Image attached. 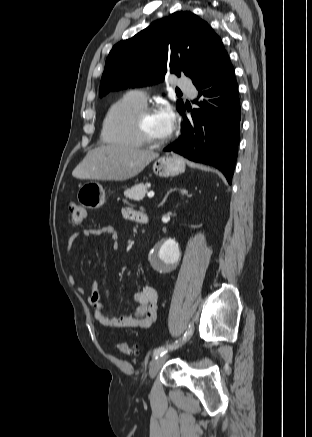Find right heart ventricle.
Masks as SVG:
<instances>
[{
    "mask_svg": "<svg viewBox=\"0 0 312 437\" xmlns=\"http://www.w3.org/2000/svg\"><path fill=\"white\" fill-rule=\"evenodd\" d=\"M145 103L140 102L131 93L115 101L107 110L103 122L101 137L105 143L137 148L142 146L138 140L132 124L134 113Z\"/></svg>",
    "mask_w": 312,
    "mask_h": 437,
    "instance_id": "1",
    "label": "right heart ventricle"
}]
</instances>
